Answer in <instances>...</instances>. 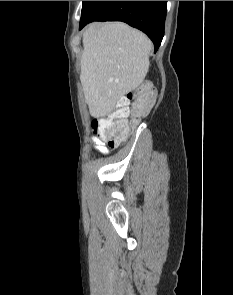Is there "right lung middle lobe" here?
Wrapping results in <instances>:
<instances>
[{
    "label": "right lung middle lobe",
    "instance_id": "dd1d6c3e",
    "mask_svg": "<svg viewBox=\"0 0 233 295\" xmlns=\"http://www.w3.org/2000/svg\"><path fill=\"white\" fill-rule=\"evenodd\" d=\"M89 2H90V1H83V2H82V12H81V15L83 14V12H84V10L86 9V7H87V5H88Z\"/></svg>",
    "mask_w": 233,
    "mask_h": 295
}]
</instances>
